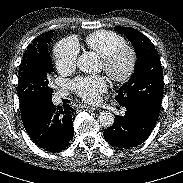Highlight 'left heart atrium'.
<instances>
[{"instance_id":"left-heart-atrium-1","label":"left heart atrium","mask_w":183,"mask_h":183,"mask_svg":"<svg viewBox=\"0 0 183 183\" xmlns=\"http://www.w3.org/2000/svg\"><path fill=\"white\" fill-rule=\"evenodd\" d=\"M71 87L81 99L95 103L99 100L101 94L107 90V80L100 75L82 76L76 78Z\"/></svg>"}]
</instances>
